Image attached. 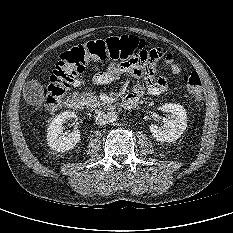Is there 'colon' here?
I'll list each match as a JSON object with an SVG mask.
<instances>
[{"label":"colon","mask_w":233,"mask_h":233,"mask_svg":"<svg viewBox=\"0 0 233 233\" xmlns=\"http://www.w3.org/2000/svg\"><path fill=\"white\" fill-rule=\"evenodd\" d=\"M143 48H147L144 40L133 35L96 39L71 47L60 55L59 62L50 77V83L43 90L45 104L48 107H56L89 62L110 61L111 65L117 62L126 63ZM164 66L169 67L173 72L179 71L178 65L172 63L169 55ZM184 82L195 100L199 101L203 98L202 80L197 72L186 74Z\"/></svg>","instance_id":"colon-1"}]
</instances>
